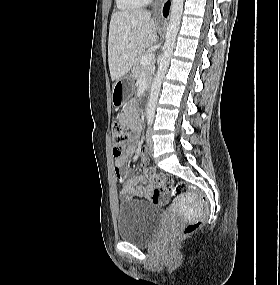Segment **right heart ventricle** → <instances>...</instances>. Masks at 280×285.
<instances>
[{
	"mask_svg": "<svg viewBox=\"0 0 280 285\" xmlns=\"http://www.w3.org/2000/svg\"><path fill=\"white\" fill-rule=\"evenodd\" d=\"M147 1L148 0H115V3L119 10L130 12L141 8Z\"/></svg>",
	"mask_w": 280,
	"mask_h": 285,
	"instance_id": "1",
	"label": "right heart ventricle"
}]
</instances>
